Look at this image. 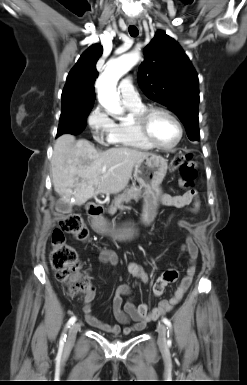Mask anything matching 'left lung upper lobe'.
<instances>
[{
  "instance_id": "5c2ea615",
  "label": "left lung upper lobe",
  "mask_w": 247,
  "mask_h": 385,
  "mask_svg": "<svg viewBox=\"0 0 247 385\" xmlns=\"http://www.w3.org/2000/svg\"><path fill=\"white\" fill-rule=\"evenodd\" d=\"M138 82L144 94L170 108L185 126L190 140H199L198 75L180 45L158 31L144 48Z\"/></svg>"
}]
</instances>
